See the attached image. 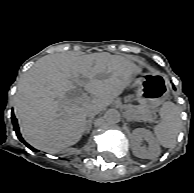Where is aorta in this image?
Instances as JSON below:
<instances>
[{
	"instance_id": "762f6f07",
	"label": "aorta",
	"mask_w": 194,
	"mask_h": 193,
	"mask_svg": "<svg viewBox=\"0 0 194 193\" xmlns=\"http://www.w3.org/2000/svg\"><path fill=\"white\" fill-rule=\"evenodd\" d=\"M104 119L108 124H117L121 120V114L116 109H110L105 113Z\"/></svg>"
}]
</instances>
